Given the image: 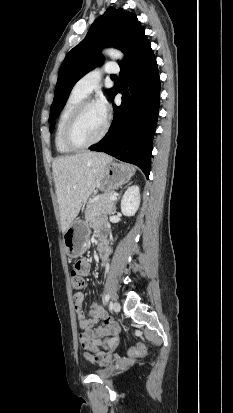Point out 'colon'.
Here are the masks:
<instances>
[{
	"instance_id": "colon-1",
	"label": "colon",
	"mask_w": 233,
	"mask_h": 413,
	"mask_svg": "<svg viewBox=\"0 0 233 413\" xmlns=\"http://www.w3.org/2000/svg\"><path fill=\"white\" fill-rule=\"evenodd\" d=\"M71 285L76 291L81 290L84 287L85 281L83 276L79 273V270L73 269L71 271ZM145 350V345L143 343H139L136 347L130 348L128 354L130 356H139L143 355Z\"/></svg>"
}]
</instances>
